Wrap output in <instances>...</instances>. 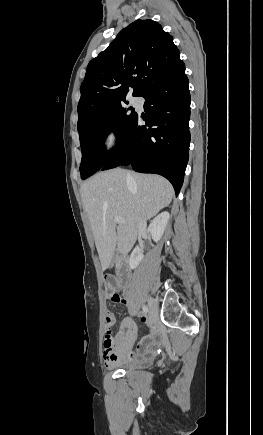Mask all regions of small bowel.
I'll use <instances>...</instances> for the list:
<instances>
[{"label":"small bowel","mask_w":263,"mask_h":435,"mask_svg":"<svg viewBox=\"0 0 263 435\" xmlns=\"http://www.w3.org/2000/svg\"><path fill=\"white\" fill-rule=\"evenodd\" d=\"M127 305L128 301L121 298L119 302ZM142 322L147 319L141 317ZM111 326L115 323V317L112 313L106 314V324ZM136 338V325L130 318H125L121 321L120 330L113 338L115 348L113 350L103 349V359L108 367H114L125 363L137 362L146 360L154 356L159 346V335L154 329L146 333L137 343L136 348L133 350L134 341Z\"/></svg>","instance_id":"c3829d8e"}]
</instances>
